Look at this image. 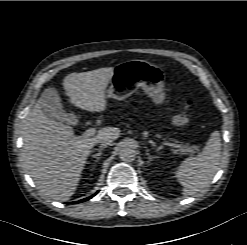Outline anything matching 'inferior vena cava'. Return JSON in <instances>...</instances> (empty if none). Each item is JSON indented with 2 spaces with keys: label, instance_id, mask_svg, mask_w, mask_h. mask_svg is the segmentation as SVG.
Masks as SVG:
<instances>
[{
  "label": "inferior vena cava",
  "instance_id": "1",
  "mask_svg": "<svg viewBox=\"0 0 247 245\" xmlns=\"http://www.w3.org/2000/svg\"><path fill=\"white\" fill-rule=\"evenodd\" d=\"M100 143H101V146H105L106 147L108 145H112L113 141L110 140V139H103V140L100 141Z\"/></svg>",
  "mask_w": 247,
  "mask_h": 245
}]
</instances>
